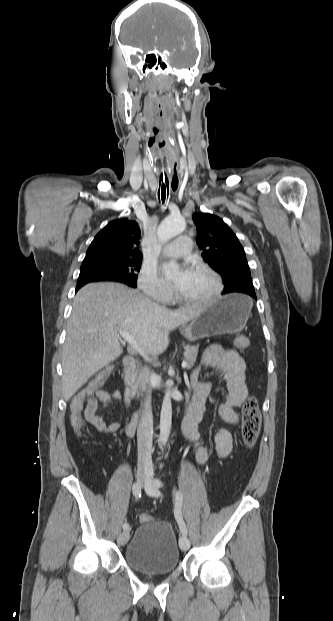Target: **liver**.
I'll list each match as a JSON object with an SVG mask.
<instances>
[{"instance_id": "obj_1", "label": "liver", "mask_w": 333, "mask_h": 621, "mask_svg": "<svg viewBox=\"0 0 333 621\" xmlns=\"http://www.w3.org/2000/svg\"><path fill=\"white\" fill-rule=\"evenodd\" d=\"M204 307L169 310L119 283L82 287L74 298L62 352L65 401L122 354L119 330L131 333L142 350L159 355L168 347L170 331L193 320Z\"/></svg>"}]
</instances>
